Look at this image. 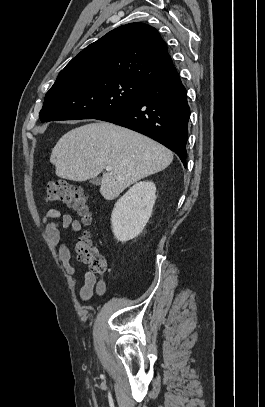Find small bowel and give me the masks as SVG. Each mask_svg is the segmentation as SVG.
I'll list each match as a JSON object with an SVG mask.
<instances>
[{"label": "small bowel", "instance_id": "obj_1", "mask_svg": "<svg viewBox=\"0 0 265 407\" xmlns=\"http://www.w3.org/2000/svg\"><path fill=\"white\" fill-rule=\"evenodd\" d=\"M42 225L49 239L50 244L57 251L59 261L63 265L65 274L74 278L76 269L71 264V252L64 243L61 231L70 229L72 232H80L82 224L78 219H74L70 214H62L57 209H49L41 219ZM104 271L98 273L88 271L85 273L84 282L79 290V297L82 301H88L93 293L101 295L106 290V284L103 278Z\"/></svg>", "mask_w": 265, "mask_h": 407}]
</instances>
